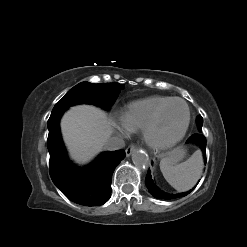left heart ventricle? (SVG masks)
I'll return each mask as SVG.
<instances>
[{
	"label": "left heart ventricle",
	"mask_w": 247,
	"mask_h": 247,
	"mask_svg": "<svg viewBox=\"0 0 247 247\" xmlns=\"http://www.w3.org/2000/svg\"><path fill=\"white\" fill-rule=\"evenodd\" d=\"M187 117L186 107L181 102L170 104L160 117L154 134L157 138L168 139L177 135L183 128Z\"/></svg>",
	"instance_id": "obj_1"
}]
</instances>
